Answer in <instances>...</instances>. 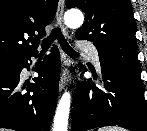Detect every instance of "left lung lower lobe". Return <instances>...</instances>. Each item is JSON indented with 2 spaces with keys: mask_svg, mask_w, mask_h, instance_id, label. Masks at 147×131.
I'll return each mask as SVG.
<instances>
[{
  "mask_svg": "<svg viewBox=\"0 0 147 131\" xmlns=\"http://www.w3.org/2000/svg\"><path fill=\"white\" fill-rule=\"evenodd\" d=\"M80 70L86 71L80 63ZM104 89L88 79L77 85L73 105L72 131L121 126L147 131V102L140 75L116 65L101 62Z\"/></svg>",
  "mask_w": 147,
  "mask_h": 131,
  "instance_id": "left-lung-lower-lobe-1",
  "label": "left lung lower lobe"
}]
</instances>
